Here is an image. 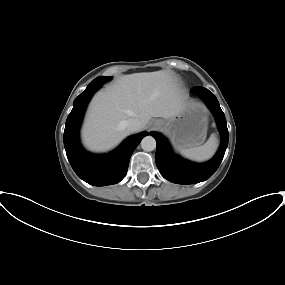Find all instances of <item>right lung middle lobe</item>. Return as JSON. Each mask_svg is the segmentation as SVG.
I'll return each mask as SVG.
<instances>
[{
    "mask_svg": "<svg viewBox=\"0 0 285 285\" xmlns=\"http://www.w3.org/2000/svg\"><path fill=\"white\" fill-rule=\"evenodd\" d=\"M112 77H98L96 79H94L86 89L92 88L94 86H99L105 82H108L111 80Z\"/></svg>",
    "mask_w": 285,
    "mask_h": 285,
    "instance_id": "dd1d6c3e",
    "label": "right lung middle lobe"
}]
</instances>
